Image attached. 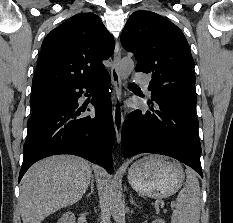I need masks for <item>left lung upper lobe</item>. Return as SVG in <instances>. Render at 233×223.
<instances>
[{"mask_svg": "<svg viewBox=\"0 0 233 223\" xmlns=\"http://www.w3.org/2000/svg\"><path fill=\"white\" fill-rule=\"evenodd\" d=\"M121 43L137 60L136 71L152 73V100L196 105L195 63L182 31L164 17L136 11L128 19Z\"/></svg>", "mask_w": 233, "mask_h": 223, "instance_id": "obj_1", "label": "left lung upper lobe"}]
</instances>
